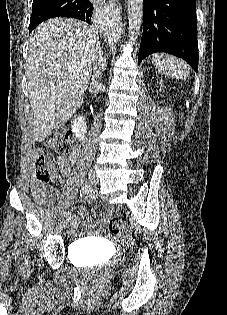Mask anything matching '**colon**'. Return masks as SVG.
Returning <instances> with one entry per match:
<instances>
[{
    "label": "colon",
    "mask_w": 227,
    "mask_h": 315,
    "mask_svg": "<svg viewBox=\"0 0 227 315\" xmlns=\"http://www.w3.org/2000/svg\"><path fill=\"white\" fill-rule=\"evenodd\" d=\"M71 144V133L65 128H59L45 140V147H38L35 150L32 173L34 185L45 186L50 181L54 171L51 151L66 155L70 150ZM109 229L116 235L129 236L131 233L127 224L118 218H113L109 221Z\"/></svg>",
    "instance_id": "5ec220e1"
}]
</instances>
